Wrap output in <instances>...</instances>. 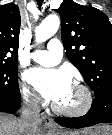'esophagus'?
<instances>
[{
  "mask_svg": "<svg viewBox=\"0 0 112 135\" xmlns=\"http://www.w3.org/2000/svg\"><path fill=\"white\" fill-rule=\"evenodd\" d=\"M45 126L51 129L60 130V128L55 124L52 118L44 117Z\"/></svg>",
  "mask_w": 112,
  "mask_h": 135,
  "instance_id": "esophagus-1",
  "label": "esophagus"
}]
</instances>
